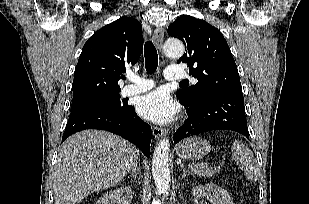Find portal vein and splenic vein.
<instances>
[{"label":"portal vein and splenic vein","mask_w":309,"mask_h":204,"mask_svg":"<svg viewBox=\"0 0 309 204\" xmlns=\"http://www.w3.org/2000/svg\"><path fill=\"white\" fill-rule=\"evenodd\" d=\"M188 167H189V168H191L192 166H191V165H189Z\"/></svg>","instance_id":"portal-vein-and-splenic-vein-1"}]
</instances>
